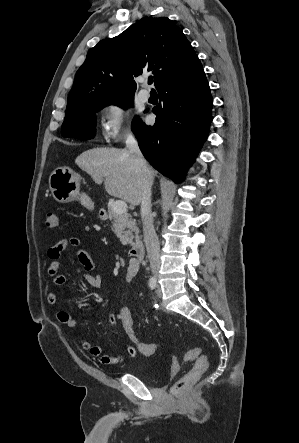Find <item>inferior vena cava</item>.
<instances>
[{"instance_id":"obj_1","label":"inferior vena cava","mask_w":299,"mask_h":443,"mask_svg":"<svg viewBox=\"0 0 299 443\" xmlns=\"http://www.w3.org/2000/svg\"><path fill=\"white\" fill-rule=\"evenodd\" d=\"M126 147L134 157V163L139 173V180L141 185V219L143 223L144 242L146 245L147 255L150 261V267L154 275L158 274L160 269L159 250L160 245L156 235L153 217L151 214V187L153 178L149 167L143 158L139 149L138 142L132 133L126 136Z\"/></svg>"}]
</instances>
